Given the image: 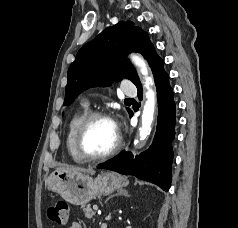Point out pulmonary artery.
Returning a JSON list of instances; mask_svg holds the SVG:
<instances>
[{"mask_svg":"<svg viewBox=\"0 0 238 228\" xmlns=\"http://www.w3.org/2000/svg\"><path fill=\"white\" fill-rule=\"evenodd\" d=\"M122 92L127 96H131V95H135L137 93V89L132 82L125 81L122 86Z\"/></svg>","mask_w":238,"mask_h":228,"instance_id":"e3ab8cb5","label":"pulmonary artery"}]
</instances>
